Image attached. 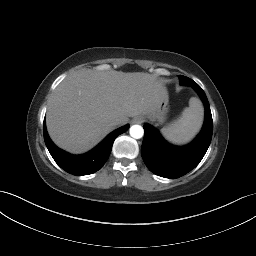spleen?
<instances>
[{
	"label": "spleen",
	"mask_w": 256,
	"mask_h": 256,
	"mask_svg": "<svg viewBox=\"0 0 256 256\" xmlns=\"http://www.w3.org/2000/svg\"><path fill=\"white\" fill-rule=\"evenodd\" d=\"M203 121V106L199 99L192 97L189 107L176 122L164 127L162 135L171 143L184 144L189 142L199 131Z\"/></svg>",
	"instance_id": "spleen-1"
}]
</instances>
